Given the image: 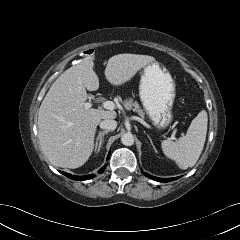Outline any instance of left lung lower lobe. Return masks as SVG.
I'll return each mask as SVG.
<instances>
[{"label":"left lung lower lobe","instance_id":"0a47b994","mask_svg":"<svg viewBox=\"0 0 240 240\" xmlns=\"http://www.w3.org/2000/svg\"><path fill=\"white\" fill-rule=\"evenodd\" d=\"M144 175L149 177V178H151V179H153V180H155V181H158V182H170V181H173L175 179L180 178V177H175V178H158V177L151 176V175H149L147 173H144Z\"/></svg>","mask_w":240,"mask_h":240}]
</instances>
